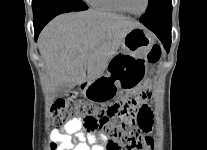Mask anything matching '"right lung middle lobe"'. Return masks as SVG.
Returning a JSON list of instances; mask_svg holds the SVG:
<instances>
[{
	"label": "right lung middle lobe",
	"mask_w": 207,
	"mask_h": 150,
	"mask_svg": "<svg viewBox=\"0 0 207 150\" xmlns=\"http://www.w3.org/2000/svg\"><path fill=\"white\" fill-rule=\"evenodd\" d=\"M34 18L53 9H67L69 11H81L88 6L81 0H32Z\"/></svg>",
	"instance_id": "dd1d6c3e"
}]
</instances>
